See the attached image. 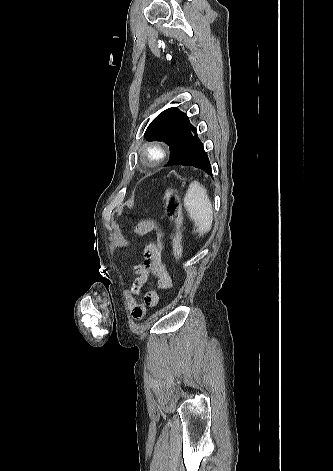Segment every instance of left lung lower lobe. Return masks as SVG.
Returning a JSON list of instances; mask_svg holds the SVG:
<instances>
[{
	"mask_svg": "<svg viewBox=\"0 0 333 471\" xmlns=\"http://www.w3.org/2000/svg\"><path fill=\"white\" fill-rule=\"evenodd\" d=\"M180 164L190 165L200 168L208 175H212V169L207 153L204 151L203 144L196 135L186 146L175 154L166 164V166Z\"/></svg>",
	"mask_w": 333,
	"mask_h": 471,
	"instance_id": "left-lung-lower-lobe-1",
	"label": "left lung lower lobe"
}]
</instances>
